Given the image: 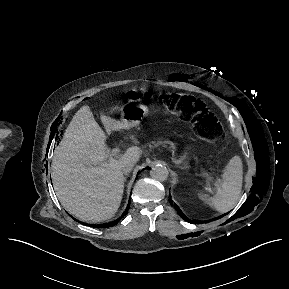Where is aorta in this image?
Segmentation results:
<instances>
[{
    "label": "aorta",
    "mask_w": 289,
    "mask_h": 289,
    "mask_svg": "<svg viewBox=\"0 0 289 289\" xmlns=\"http://www.w3.org/2000/svg\"><path fill=\"white\" fill-rule=\"evenodd\" d=\"M168 169L161 164L155 165L150 170V176L157 181H165L168 178Z\"/></svg>",
    "instance_id": "obj_1"
}]
</instances>
